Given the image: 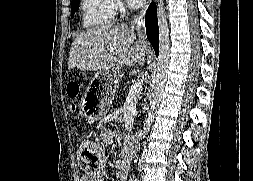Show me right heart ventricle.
<instances>
[{"mask_svg":"<svg viewBox=\"0 0 253 181\" xmlns=\"http://www.w3.org/2000/svg\"><path fill=\"white\" fill-rule=\"evenodd\" d=\"M115 0H81V21L84 28L110 25L115 17Z\"/></svg>","mask_w":253,"mask_h":181,"instance_id":"e07e8e85","label":"right heart ventricle"}]
</instances>
